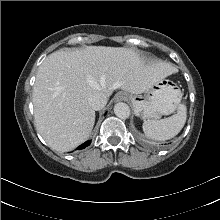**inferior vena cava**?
Masks as SVG:
<instances>
[{
	"label": "inferior vena cava",
	"instance_id": "obj_1",
	"mask_svg": "<svg viewBox=\"0 0 220 220\" xmlns=\"http://www.w3.org/2000/svg\"><path fill=\"white\" fill-rule=\"evenodd\" d=\"M88 102L94 110H100L107 104V97L102 93H95L89 97Z\"/></svg>",
	"mask_w": 220,
	"mask_h": 220
}]
</instances>
